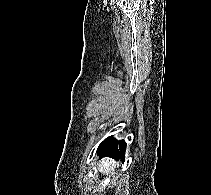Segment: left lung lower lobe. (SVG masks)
<instances>
[{
  "instance_id": "0a47b994",
  "label": "left lung lower lobe",
  "mask_w": 211,
  "mask_h": 195,
  "mask_svg": "<svg viewBox=\"0 0 211 195\" xmlns=\"http://www.w3.org/2000/svg\"><path fill=\"white\" fill-rule=\"evenodd\" d=\"M125 149L124 140L118 141L113 136H109L99 145L96 153L100 158L110 157L116 160L121 158L124 161Z\"/></svg>"
}]
</instances>
